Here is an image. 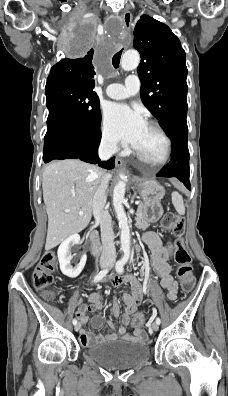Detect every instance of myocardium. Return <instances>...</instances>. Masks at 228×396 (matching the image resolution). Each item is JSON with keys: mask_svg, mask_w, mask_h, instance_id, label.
Wrapping results in <instances>:
<instances>
[{"mask_svg": "<svg viewBox=\"0 0 228 396\" xmlns=\"http://www.w3.org/2000/svg\"><path fill=\"white\" fill-rule=\"evenodd\" d=\"M147 126L155 129L164 139L165 144H166V149H165V154L162 159L158 161H151L144 157L136 148H135V155L136 157L143 162L144 164H147L149 166L153 167H160L165 165L171 158L172 155V141L169 137V135L166 133V131L156 122L150 121L146 124Z\"/></svg>", "mask_w": 228, "mask_h": 396, "instance_id": "1", "label": "myocardium"}]
</instances>
